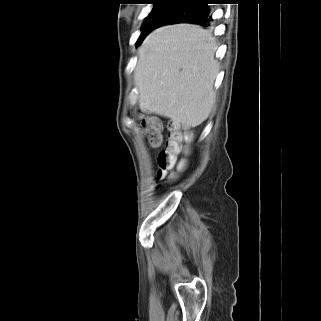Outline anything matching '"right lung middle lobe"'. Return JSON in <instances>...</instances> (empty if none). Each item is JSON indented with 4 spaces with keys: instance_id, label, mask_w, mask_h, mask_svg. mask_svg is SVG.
Segmentation results:
<instances>
[{
    "instance_id": "dd1d6c3e",
    "label": "right lung middle lobe",
    "mask_w": 321,
    "mask_h": 321,
    "mask_svg": "<svg viewBox=\"0 0 321 321\" xmlns=\"http://www.w3.org/2000/svg\"><path fill=\"white\" fill-rule=\"evenodd\" d=\"M173 7H175L174 2L171 1L154 2L151 12L144 21L142 32L137 42L138 45L142 42L146 35H148L149 32H151L155 28L156 24L162 18V16Z\"/></svg>"
}]
</instances>
